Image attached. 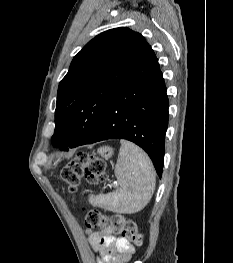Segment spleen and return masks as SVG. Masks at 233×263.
<instances>
[{
  "label": "spleen",
  "mask_w": 233,
  "mask_h": 263,
  "mask_svg": "<svg viewBox=\"0 0 233 263\" xmlns=\"http://www.w3.org/2000/svg\"><path fill=\"white\" fill-rule=\"evenodd\" d=\"M115 175L120 188L108 194L90 196L91 205L117 213L143 209L155 190V171L147 154L135 144L121 140Z\"/></svg>",
  "instance_id": "spleen-1"
}]
</instances>
